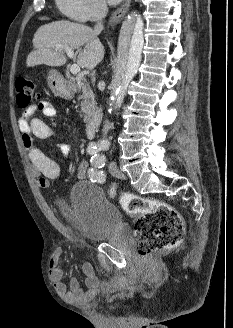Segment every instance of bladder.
Listing matches in <instances>:
<instances>
[{
  "instance_id": "bladder-1",
  "label": "bladder",
  "mask_w": 233,
  "mask_h": 328,
  "mask_svg": "<svg viewBox=\"0 0 233 328\" xmlns=\"http://www.w3.org/2000/svg\"><path fill=\"white\" fill-rule=\"evenodd\" d=\"M61 210L88 240H106L122 228L119 210L99 186L89 181H79L72 186Z\"/></svg>"
}]
</instances>
